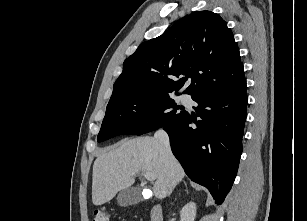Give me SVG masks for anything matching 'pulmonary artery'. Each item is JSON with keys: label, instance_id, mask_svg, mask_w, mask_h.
<instances>
[{"label": "pulmonary artery", "instance_id": "pulmonary-artery-1", "mask_svg": "<svg viewBox=\"0 0 307 221\" xmlns=\"http://www.w3.org/2000/svg\"><path fill=\"white\" fill-rule=\"evenodd\" d=\"M182 99H183V101H187L188 100L187 96H183Z\"/></svg>", "mask_w": 307, "mask_h": 221}]
</instances>
